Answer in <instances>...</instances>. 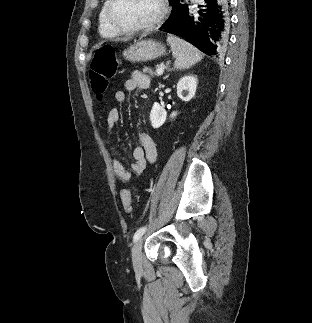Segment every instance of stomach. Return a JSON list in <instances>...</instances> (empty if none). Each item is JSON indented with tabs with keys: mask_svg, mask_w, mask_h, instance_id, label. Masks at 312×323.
Returning <instances> with one entry per match:
<instances>
[{
	"mask_svg": "<svg viewBox=\"0 0 312 323\" xmlns=\"http://www.w3.org/2000/svg\"><path fill=\"white\" fill-rule=\"evenodd\" d=\"M165 54V46H161L159 42H154V40H139L123 52V56L128 62H148V60H155Z\"/></svg>",
	"mask_w": 312,
	"mask_h": 323,
	"instance_id": "0dacf381",
	"label": "stomach"
}]
</instances>
